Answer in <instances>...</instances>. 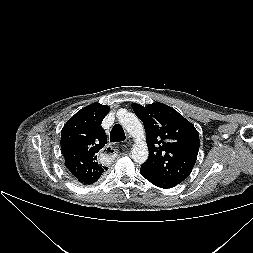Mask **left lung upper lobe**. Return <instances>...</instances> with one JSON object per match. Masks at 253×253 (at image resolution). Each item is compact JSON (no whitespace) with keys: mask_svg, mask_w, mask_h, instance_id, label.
<instances>
[{"mask_svg":"<svg viewBox=\"0 0 253 253\" xmlns=\"http://www.w3.org/2000/svg\"><path fill=\"white\" fill-rule=\"evenodd\" d=\"M132 109L146 131L149 157L141 169L155 177L179 184L191 173L199 151V134L187 119L163 103Z\"/></svg>","mask_w":253,"mask_h":253,"instance_id":"left-lung-upper-lobe-1","label":"left lung upper lobe"}]
</instances>
